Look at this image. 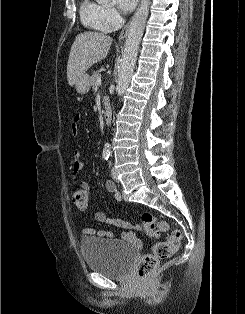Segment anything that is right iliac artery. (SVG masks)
I'll return each instance as SVG.
<instances>
[{"label":"right iliac artery","instance_id":"1","mask_svg":"<svg viewBox=\"0 0 245 314\" xmlns=\"http://www.w3.org/2000/svg\"><path fill=\"white\" fill-rule=\"evenodd\" d=\"M109 156H110V154H108V153H103V159L104 160H108L109 159Z\"/></svg>","mask_w":245,"mask_h":314}]
</instances>
